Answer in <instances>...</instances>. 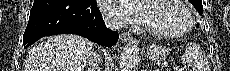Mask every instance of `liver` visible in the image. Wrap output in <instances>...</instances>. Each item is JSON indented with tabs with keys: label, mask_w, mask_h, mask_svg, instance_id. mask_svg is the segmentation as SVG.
<instances>
[{
	"label": "liver",
	"mask_w": 230,
	"mask_h": 71,
	"mask_svg": "<svg viewBox=\"0 0 230 71\" xmlns=\"http://www.w3.org/2000/svg\"><path fill=\"white\" fill-rule=\"evenodd\" d=\"M92 54L89 40L73 34L57 35L30 49L24 71H84Z\"/></svg>",
	"instance_id": "obj_1"
}]
</instances>
